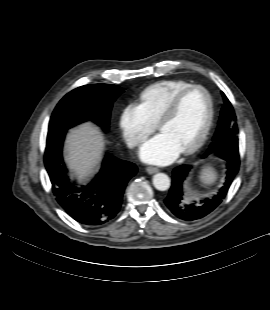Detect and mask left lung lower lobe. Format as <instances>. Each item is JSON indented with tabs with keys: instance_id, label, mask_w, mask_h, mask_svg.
Listing matches in <instances>:
<instances>
[{
	"instance_id": "obj_1",
	"label": "left lung lower lobe",
	"mask_w": 270,
	"mask_h": 310,
	"mask_svg": "<svg viewBox=\"0 0 270 310\" xmlns=\"http://www.w3.org/2000/svg\"><path fill=\"white\" fill-rule=\"evenodd\" d=\"M227 162L226 182L220 192L211 199L201 200L200 204L183 202L182 183L191 169L189 165H182L173 170L172 184L165 199L166 206L180 219L191 221L200 219L212 212L226 196L228 189L239 170V153L229 154L223 158Z\"/></svg>"
}]
</instances>
